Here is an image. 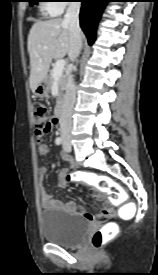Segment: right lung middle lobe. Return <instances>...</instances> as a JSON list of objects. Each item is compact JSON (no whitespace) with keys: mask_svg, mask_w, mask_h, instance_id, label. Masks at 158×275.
Here are the masks:
<instances>
[{"mask_svg":"<svg viewBox=\"0 0 158 275\" xmlns=\"http://www.w3.org/2000/svg\"><path fill=\"white\" fill-rule=\"evenodd\" d=\"M29 3H30L31 5L37 4V0H29Z\"/></svg>","mask_w":158,"mask_h":275,"instance_id":"1","label":"right lung middle lobe"}]
</instances>
